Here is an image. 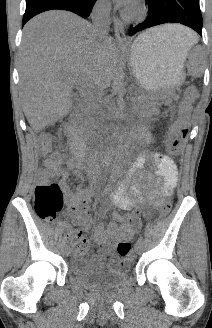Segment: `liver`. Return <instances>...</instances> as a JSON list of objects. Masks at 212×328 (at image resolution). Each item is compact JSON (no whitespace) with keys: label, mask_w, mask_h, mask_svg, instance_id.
<instances>
[{"label":"liver","mask_w":212,"mask_h":328,"mask_svg":"<svg viewBox=\"0 0 212 328\" xmlns=\"http://www.w3.org/2000/svg\"><path fill=\"white\" fill-rule=\"evenodd\" d=\"M181 50L196 34L181 25H163L146 32ZM115 69V44L88 21L60 10L41 13L24 27L19 53L21 100L35 132L56 122L71 107L72 89L84 94L93 80L105 89Z\"/></svg>","instance_id":"6515ba94"}]
</instances>
